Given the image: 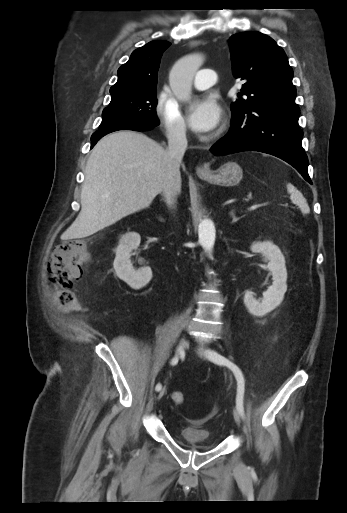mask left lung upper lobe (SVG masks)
I'll use <instances>...</instances> for the list:
<instances>
[{"label": "left lung upper lobe", "instance_id": "left-lung-upper-lobe-1", "mask_svg": "<svg viewBox=\"0 0 347 513\" xmlns=\"http://www.w3.org/2000/svg\"><path fill=\"white\" fill-rule=\"evenodd\" d=\"M233 75L245 80L241 94L231 104L232 115L266 103H295L293 70L284 50L260 32H242L231 36Z\"/></svg>", "mask_w": 347, "mask_h": 513}]
</instances>
